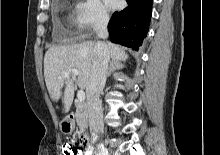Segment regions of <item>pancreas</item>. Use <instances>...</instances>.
I'll list each match as a JSON object with an SVG mask.
<instances>
[{
    "mask_svg": "<svg viewBox=\"0 0 220 155\" xmlns=\"http://www.w3.org/2000/svg\"><path fill=\"white\" fill-rule=\"evenodd\" d=\"M76 122L79 126L80 133H82L88 126V111L87 105L84 102H78L76 104Z\"/></svg>",
    "mask_w": 220,
    "mask_h": 155,
    "instance_id": "pancreas-1",
    "label": "pancreas"
}]
</instances>
